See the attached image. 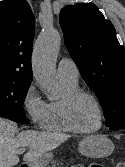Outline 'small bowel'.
I'll return each instance as SVG.
<instances>
[{"label":"small bowel","mask_w":125,"mask_h":167,"mask_svg":"<svg viewBox=\"0 0 125 167\" xmlns=\"http://www.w3.org/2000/svg\"><path fill=\"white\" fill-rule=\"evenodd\" d=\"M73 167H85L83 165H76V166H73ZM87 167H102L101 165H97V164H92V165H89Z\"/></svg>","instance_id":"c3829d8e"}]
</instances>
